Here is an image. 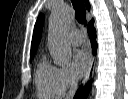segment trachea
Returning <instances> with one entry per match:
<instances>
[{
	"mask_svg": "<svg viewBox=\"0 0 128 99\" xmlns=\"http://www.w3.org/2000/svg\"><path fill=\"white\" fill-rule=\"evenodd\" d=\"M75 10L76 20L80 24H87L86 9L83 0H71Z\"/></svg>",
	"mask_w": 128,
	"mask_h": 99,
	"instance_id": "trachea-1",
	"label": "trachea"
}]
</instances>
